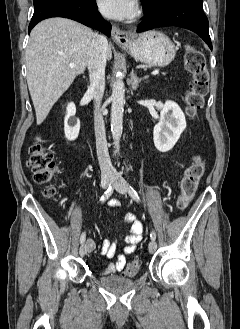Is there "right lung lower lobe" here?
<instances>
[{
    "label": "right lung lower lobe",
    "mask_w": 240,
    "mask_h": 329,
    "mask_svg": "<svg viewBox=\"0 0 240 329\" xmlns=\"http://www.w3.org/2000/svg\"><path fill=\"white\" fill-rule=\"evenodd\" d=\"M51 17H64L78 21L86 26L100 30L107 36L111 33V24L100 16L95 0L82 2L72 0H34V14L28 32L41 20Z\"/></svg>",
    "instance_id": "obj_1"
}]
</instances>
